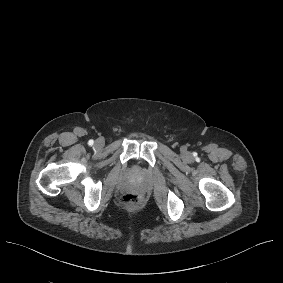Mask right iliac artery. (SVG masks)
Instances as JSON below:
<instances>
[{
	"instance_id": "right-iliac-artery-1",
	"label": "right iliac artery",
	"mask_w": 283,
	"mask_h": 283,
	"mask_svg": "<svg viewBox=\"0 0 283 283\" xmlns=\"http://www.w3.org/2000/svg\"><path fill=\"white\" fill-rule=\"evenodd\" d=\"M88 144H89L90 146H92V145L94 144V141H93V140H89Z\"/></svg>"
}]
</instances>
